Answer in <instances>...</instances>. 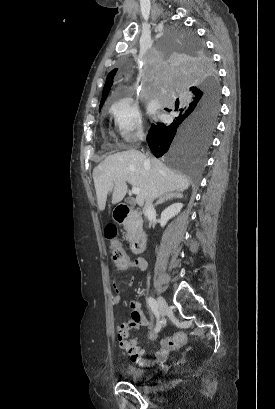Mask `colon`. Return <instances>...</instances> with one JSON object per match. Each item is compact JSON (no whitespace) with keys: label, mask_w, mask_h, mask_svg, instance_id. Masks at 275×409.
Listing matches in <instances>:
<instances>
[{"label":"colon","mask_w":275,"mask_h":409,"mask_svg":"<svg viewBox=\"0 0 275 409\" xmlns=\"http://www.w3.org/2000/svg\"><path fill=\"white\" fill-rule=\"evenodd\" d=\"M117 234V227L115 225H108L105 228V237L108 238L113 254L116 256V266L118 270H126L130 264V257L124 256L123 248L119 242L114 240ZM188 337L184 331L177 332L172 337H167L162 341L163 346L170 349H178L186 346Z\"/></svg>","instance_id":"obj_1"}]
</instances>
